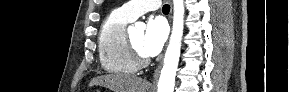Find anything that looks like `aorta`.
<instances>
[{
    "mask_svg": "<svg viewBox=\"0 0 289 92\" xmlns=\"http://www.w3.org/2000/svg\"><path fill=\"white\" fill-rule=\"evenodd\" d=\"M173 26L172 33L167 47L164 64L161 69L157 92H173L175 76L181 52V40L184 29V1L173 0ZM136 26H143L142 23H136Z\"/></svg>",
    "mask_w": 289,
    "mask_h": 92,
    "instance_id": "762f6f07",
    "label": "aorta"
}]
</instances>
